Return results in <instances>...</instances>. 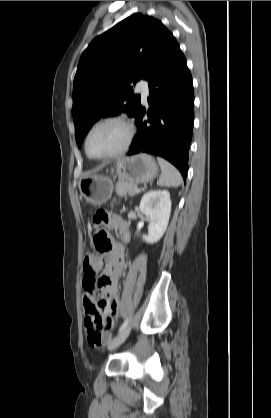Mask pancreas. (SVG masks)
I'll return each mask as SVG.
<instances>
[{
	"label": "pancreas",
	"instance_id": "obj_1",
	"mask_svg": "<svg viewBox=\"0 0 271 418\" xmlns=\"http://www.w3.org/2000/svg\"><path fill=\"white\" fill-rule=\"evenodd\" d=\"M137 188V185L128 181H118L116 184V193L119 196L126 197L134 196L135 195V189Z\"/></svg>",
	"mask_w": 271,
	"mask_h": 418
}]
</instances>
